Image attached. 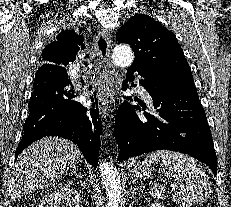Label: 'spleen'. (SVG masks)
Returning a JSON list of instances; mask_svg holds the SVG:
<instances>
[{
	"label": "spleen",
	"instance_id": "obj_1",
	"mask_svg": "<svg viewBox=\"0 0 231 207\" xmlns=\"http://www.w3.org/2000/svg\"><path fill=\"white\" fill-rule=\"evenodd\" d=\"M146 161L159 164L164 174L173 177L180 184V191L173 196V201L183 207H190L206 201L212 192L209 178L196 161L179 152L159 150L146 156ZM165 188L155 184L151 188V196L164 198Z\"/></svg>",
	"mask_w": 231,
	"mask_h": 207
}]
</instances>
